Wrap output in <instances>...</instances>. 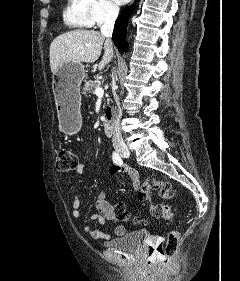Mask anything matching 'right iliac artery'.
Returning a JSON list of instances; mask_svg holds the SVG:
<instances>
[{
    "label": "right iliac artery",
    "mask_w": 240,
    "mask_h": 281,
    "mask_svg": "<svg viewBox=\"0 0 240 281\" xmlns=\"http://www.w3.org/2000/svg\"><path fill=\"white\" fill-rule=\"evenodd\" d=\"M112 159H113V162L117 165H122L123 164V161H122V158L120 157V155L116 152L113 153L112 155Z\"/></svg>",
    "instance_id": "right-iliac-artery-1"
}]
</instances>
